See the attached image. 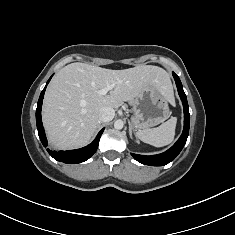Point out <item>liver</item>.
<instances>
[{
  "label": "liver",
  "instance_id": "obj_1",
  "mask_svg": "<svg viewBox=\"0 0 235 235\" xmlns=\"http://www.w3.org/2000/svg\"><path fill=\"white\" fill-rule=\"evenodd\" d=\"M107 85L114 88L107 95H99ZM152 85L173 101L169 74L158 66L124 70L80 62L65 66L54 76L44 96L42 120L49 142L62 150L86 145L100 126L102 107L117 109Z\"/></svg>",
  "mask_w": 235,
  "mask_h": 235
}]
</instances>
